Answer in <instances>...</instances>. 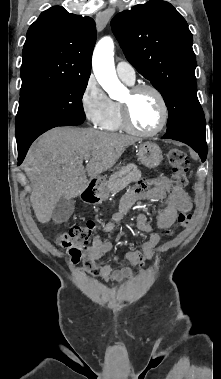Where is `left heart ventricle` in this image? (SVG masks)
Returning a JSON list of instances; mask_svg holds the SVG:
<instances>
[{"mask_svg": "<svg viewBox=\"0 0 221 379\" xmlns=\"http://www.w3.org/2000/svg\"><path fill=\"white\" fill-rule=\"evenodd\" d=\"M123 101L129 103L132 121L138 129L149 131L157 127L161 111L153 93L144 91L131 97L128 92Z\"/></svg>", "mask_w": 221, "mask_h": 379, "instance_id": "obj_1", "label": "left heart ventricle"}]
</instances>
